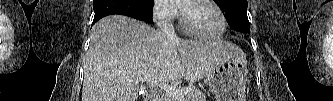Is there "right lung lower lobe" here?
<instances>
[{"instance_id":"1","label":"right lung lower lobe","mask_w":333,"mask_h":101,"mask_svg":"<svg viewBox=\"0 0 333 101\" xmlns=\"http://www.w3.org/2000/svg\"><path fill=\"white\" fill-rule=\"evenodd\" d=\"M93 9L95 12L93 24L99 19L112 14H121L148 23L152 22V18L144 11L137 0H93Z\"/></svg>"}]
</instances>
